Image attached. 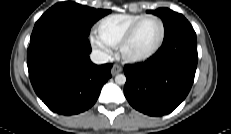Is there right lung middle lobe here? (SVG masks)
<instances>
[{"label":"right lung middle lobe","mask_w":231,"mask_h":134,"mask_svg":"<svg viewBox=\"0 0 231 134\" xmlns=\"http://www.w3.org/2000/svg\"><path fill=\"white\" fill-rule=\"evenodd\" d=\"M110 10L94 9L75 2H59L48 9L35 23L32 34L48 26H64L88 36L91 26Z\"/></svg>","instance_id":"obj_1"}]
</instances>
